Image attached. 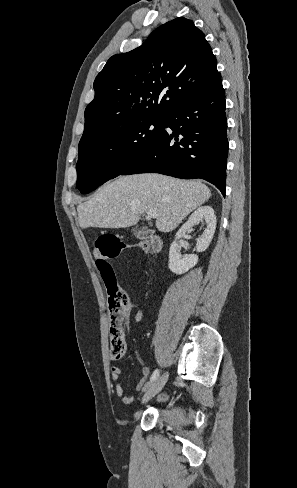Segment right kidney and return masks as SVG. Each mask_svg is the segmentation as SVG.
<instances>
[{"label": "right kidney", "mask_w": 297, "mask_h": 488, "mask_svg": "<svg viewBox=\"0 0 297 488\" xmlns=\"http://www.w3.org/2000/svg\"><path fill=\"white\" fill-rule=\"evenodd\" d=\"M200 220H205L206 228L203 234L197 239L196 250L197 252H203L209 247L216 229V216L214 210L210 206H202L190 215L188 220L176 233L175 240L171 244L169 250L168 266L171 272L180 275L187 272L198 263L197 254L181 255L178 240L185 236L186 232L192 231L193 226Z\"/></svg>", "instance_id": "obj_1"}]
</instances>
